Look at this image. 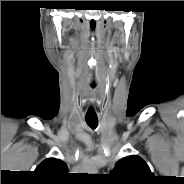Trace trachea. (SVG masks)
<instances>
[{
    "instance_id": "1",
    "label": "trachea",
    "mask_w": 184,
    "mask_h": 184,
    "mask_svg": "<svg viewBox=\"0 0 184 184\" xmlns=\"http://www.w3.org/2000/svg\"><path fill=\"white\" fill-rule=\"evenodd\" d=\"M86 123L91 127L92 129H95L98 125V119L97 118H85Z\"/></svg>"
}]
</instances>
